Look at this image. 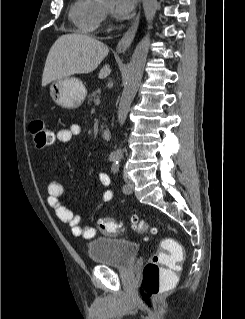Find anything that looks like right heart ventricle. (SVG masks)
Returning <instances> with one entry per match:
<instances>
[{"mask_svg": "<svg viewBox=\"0 0 245 319\" xmlns=\"http://www.w3.org/2000/svg\"><path fill=\"white\" fill-rule=\"evenodd\" d=\"M104 8L100 0H75L69 16L76 27L87 34H95L103 22Z\"/></svg>", "mask_w": 245, "mask_h": 319, "instance_id": "1", "label": "right heart ventricle"}]
</instances>
